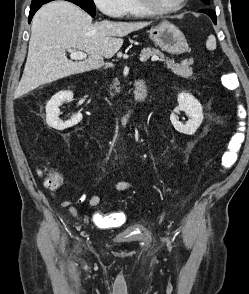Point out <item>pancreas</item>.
<instances>
[{
	"instance_id": "obj_1",
	"label": "pancreas",
	"mask_w": 249,
	"mask_h": 294,
	"mask_svg": "<svg viewBox=\"0 0 249 294\" xmlns=\"http://www.w3.org/2000/svg\"><path fill=\"white\" fill-rule=\"evenodd\" d=\"M141 56H154L157 55L161 58L162 61L167 65V68L170 69L174 74L181 76L183 78H188L193 74L192 67L194 60L193 59H185L180 64L174 63L173 60L169 58H165L164 54L161 53L158 49H154L151 47L145 48L141 51ZM118 81L115 80L113 83V88L116 91H119L117 88Z\"/></svg>"
}]
</instances>
